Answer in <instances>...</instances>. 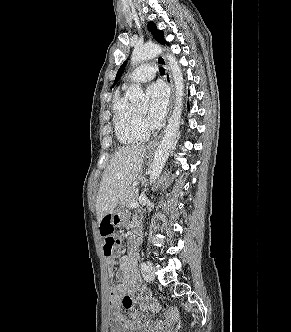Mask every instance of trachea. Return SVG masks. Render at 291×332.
Masks as SVG:
<instances>
[{
    "mask_svg": "<svg viewBox=\"0 0 291 332\" xmlns=\"http://www.w3.org/2000/svg\"><path fill=\"white\" fill-rule=\"evenodd\" d=\"M159 72L161 73V74H165V69L164 68H159Z\"/></svg>",
    "mask_w": 291,
    "mask_h": 332,
    "instance_id": "obj_1",
    "label": "trachea"
}]
</instances>
